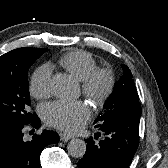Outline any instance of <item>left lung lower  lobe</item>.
<instances>
[{"instance_id":"left-lung-lower-lobe-1","label":"left lung lower lobe","mask_w":168,"mask_h":168,"mask_svg":"<svg viewBox=\"0 0 168 168\" xmlns=\"http://www.w3.org/2000/svg\"><path fill=\"white\" fill-rule=\"evenodd\" d=\"M95 127L100 141L86 139L87 150L78 161V168H128L139 143V120L121 115L110 117Z\"/></svg>"}]
</instances>
